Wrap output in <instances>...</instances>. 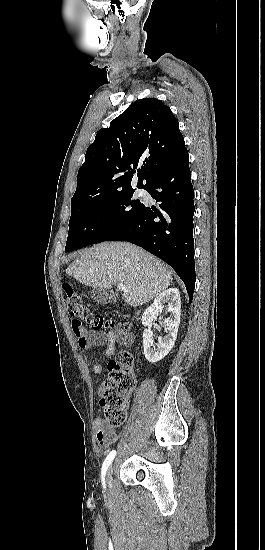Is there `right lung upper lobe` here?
Masks as SVG:
<instances>
[{"instance_id":"obj_1","label":"right lung upper lobe","mask_w":265,"mask_h":550,"mask_svg":"<svg viewBox=\"0 0 265 550\" xmlns=\"http://www.w3.org/2000/svg\"><path fill=\"white\" fill-rule=\"evenodd\" d=\"M185 148L170 108L158 99L138 100L109 128L98 131L78 171L73 198L88 200L132 190L135 182L138 188L146 189Z\"/></svg>"}]
</instances>
